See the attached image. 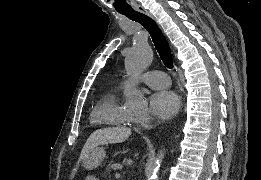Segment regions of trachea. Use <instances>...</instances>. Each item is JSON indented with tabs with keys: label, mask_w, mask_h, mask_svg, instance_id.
Segmentation results:
<instances>
[{
	"label": "trachea",
	"mask_w": 261,
	"mask_h": 180,
	"mask_svg": "<svg viewBox=\"0 0 261 180\" xmlns=\"http://www.w3.org/2000/svg\"><path fill=\"white\" fill-rule=\"evenodd\" d=\"M122 15L128 17L130 20L134 22L140 23L146 30L149 32L154 45L156 47L159 56L167 68L172 69L174 66L173 57L171 53L170 46L168 41L166 40L164 34L162 33L161 29L158 27L157 23L145 15V13L137 12L136 10L130 9L126 11H120Z\"/></svg>",
	"instance_id": "3493384b"
}]
</instances>
